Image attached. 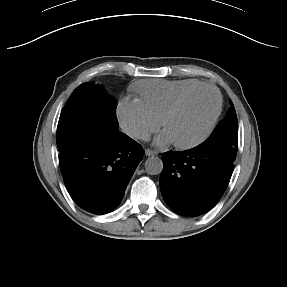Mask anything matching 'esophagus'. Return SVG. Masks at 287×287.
I'll return each instance as SVG.
<instances>
[{"label": "esophagus", "instance_id": "1", "mask_svg": "<svg viewBox=\"0 0 287 287\" xmlns=\"http://www.w3.org/2000/svg\"><path fill=\"white\" fill-rule=\"evenodd\" d=\"M157 154H158V152L155 151V150H151V149H146L145 150V155L146 156H154V155H157Z\"/></svg>", "mask_w": 287, "mask_h": 287}]
</instances>
